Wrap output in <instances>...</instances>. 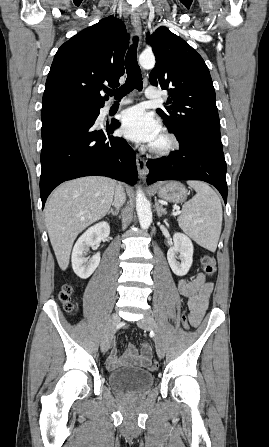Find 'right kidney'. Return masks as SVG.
Returning a JSON list of instances; mask_svg holds the SVG:
<instances>
[{"label":"right kidney","mask_w":269,"mask_h":447,"mask_svg":"<svg viewBox=\"0 0 269 447\" xmlns=\"http://www.w3.org/2000/svg\"><path fill=\"white\" fill-rule=\"evenodd\" d=\"M110 233V225L107 222H99V224L88 227L80 237H78L72 251V267L79 277L87 279L97 265L100 263V253H95L92 257H85L89 247L100 243L101 239L108 237ZM89 259V261H87Z\"/></svg>","instance_id":"ca27d5eb"}]
</instances>
